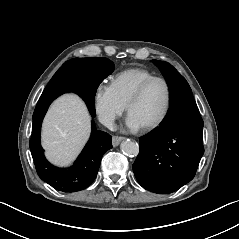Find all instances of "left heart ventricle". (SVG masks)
I'll return each mask as SVG.
<instances>
[{
  "mask_svg": "<svg viewBox=\"0 0 239 239\" xmlns=\"http://www.w3.org/2000/svg\"><path fill=\"white\" fill-rule=\"evenodd\" d=\"M165 85L156 81L145 91L142 98L132 107L130 114L135 116L145 126L157 120L166 104Z\"/></svg>",
  "mask_w": 239,
  "mask_h": 239,
  "instance_id": "left-heart-ventricle-1",
  "label": "left heart ventricle"
}]
</instances>
